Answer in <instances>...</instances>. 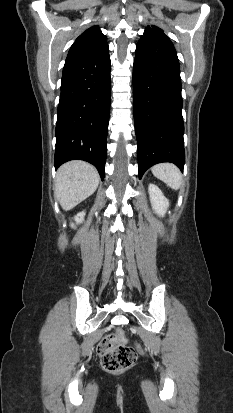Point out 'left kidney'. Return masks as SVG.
<instances>
[{"instance_id":"left-kidney-1","label":"left kidney","mask_w":233,"mask_h":413,"mask_svg":"<svg viewBox=\"0 0 233 413\" xmlns=\"http://www.w3.org/2000/svg\"><path fill=\"white\" fill-rule=\"evenodd\" d=\"M148 191L152 208L155 213L163 217L169 207V201L165 198L162 191L154 184H149Z\"/></svg>"}]
</instances>
